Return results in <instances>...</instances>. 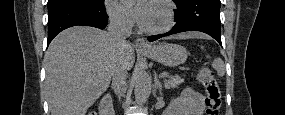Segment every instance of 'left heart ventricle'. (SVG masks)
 I'll return each instance as SVG.
<instances>
[{
  "label": "left heart ventricle",
  "instance_id": "1",
  "mask_svg": "<svg viewBox=\"0 0 285 115\" xmlns=\"http://www.w3.org/2000/svg\"><path fill=\"white\" fill-rule=\"evenodd\" d=\"M165 18V9L163 6L154 3L146 27L155 28L163 24Z\"/></svg>",
  "mask_w": 285,
  "mask_h": 115
}]
</instances>
